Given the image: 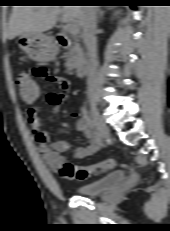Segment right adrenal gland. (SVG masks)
<instances>
[{"mask_svg":"<svg viewBox=\"0 0 170 231\" xmlns=\"http://www.w3.org/2000/svg\"><path fill=\"white\" fill-rule=\"evenodd\" d=\"M104 11L102 9L97 10V22L103 17Z\"/></svg>","mask_w":170,"mask_h":231,"instance_id":"2a0ac1e0","label":"right adrenal gland"}]
</instances>
